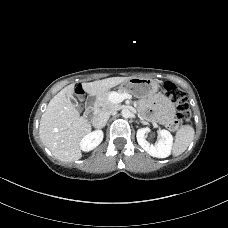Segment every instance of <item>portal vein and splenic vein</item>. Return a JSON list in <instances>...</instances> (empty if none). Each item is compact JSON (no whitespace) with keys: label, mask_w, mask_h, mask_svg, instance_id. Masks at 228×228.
I'll return each instance as SVG.
<instances>
[{"label":"portal vein and splenic vein","mask_w":228,"mask_h":228,"mask_svg":"<svg viewBox=\"0 0 228 228\" xmlns=\"http://www.w3.org/2000/svg\"><path fill=\"white\" fill-rule=\"evenodd\" d=\"M130 98H131V96L129 94H127V93H123V94L113 93L111 95V101L113 103H120L123 100L130 99Z\"/></svg>","instance_id":"1"}]
</instances>
